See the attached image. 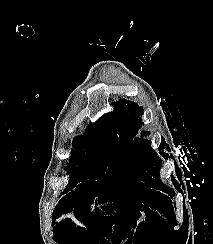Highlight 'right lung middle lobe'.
<instances>
[{
  "label": "right lung middle lobe",
  "mask_w": 213,
  "mask_h": 244,
  "mask_svg": "<svg viewBox=\"0 0 213 244\" xmlns=\"http://www.w3.org/2000/svg\"><path fill=\"white\" fill-rule=\"evenodd\" d=\"M106 124L105 117L95 124H90L83 136H77L74 139L75 150H72L65 170H72L78 164L79 166L74 170L68 186L74 187L77 183L84 181L83 179L86 178L89 171H92V174L87 177L88 182L96 179L99 174L107 176L109 173L114 176L115 173L126 167L119 148L120 140L111 133V128L106 127ZM85 152H87V156H85Z\"/></svg>",
  "instance_id": "obj_1"
}]
</instances>
